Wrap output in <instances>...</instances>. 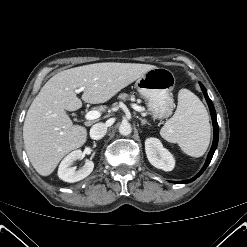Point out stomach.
<instances>
[{"label":"stomach","mask_w":247,"mask_h":247,"mask_svg":"<svg viewBox=\"0 0 247 247\" xmlns=\"http://www.w3.org/2000/svg\"><path fill=\"white\" fill-rule=\"evenodd\" d=\"M174 86V74L160 67L147 71L136 81V88L146 100L147 108L154 119H165L172 114L174 101L171 91Z\"/></svg>","instance_id":"obj_1"}]
</instances>
